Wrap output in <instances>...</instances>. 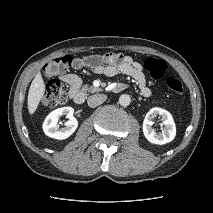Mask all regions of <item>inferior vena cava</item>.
Listing matches in <instances>:
<instances>
[{
    "label": "inferior vena cava",
    "instance_id": "inferior-vena-cava-1",
    "mask_svg": "<svg viewBox=\"0 0 213 213\" xmlns=\"http://www.w3.org/2000/svg\"><path fill=\"white\" fill-rule=\"evenodd\" d=\"M106 99H107V96L104 94H95L88 98L87 103H88V106H90L91 108H94L102 104L103 102H105Z\"/></svg>",
    "mask_w": 213,
    "mask_h": 213
}]
</instances>
